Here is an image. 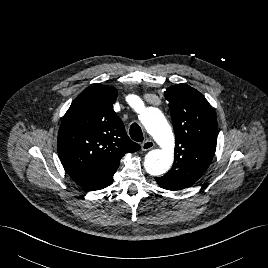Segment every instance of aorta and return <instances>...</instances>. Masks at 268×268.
Wrapping results in <instances>:
<instances>
[{"label": "aorta", "instance_id": "obj_1", "mask_svg": "<svg viewBox=\"0 0 268 268\" xmlns=\"http://www.w3.org/2000/svg\"><path fill=\"white\" fill-rule=\"evenodd\" d=\"M139 119L161 147L147 153L144 159L145 170L153 176L163 175L170 169L174 160V136L171 127L157 108H145Z\"/></svg>", "mask_w": 268, "mask_h": 268}]
</instances>
